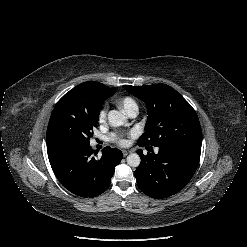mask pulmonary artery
Wrapping results in <instances>:
<instances>
[{"label":"pulmonary artery","mask_w":247,"mask_h":247,"mask_svg":"<svg viewBox=\"0 0 247 247\" xmlns=\"http://www.w3.org/2000/svg\"><path fill=\"white\" fill-rule=\"evenodd\" d=\"M127 112L130 117H136L138 114V106H132Z\"/></svg>","instance_id":"obj_1"}]
</instances>
